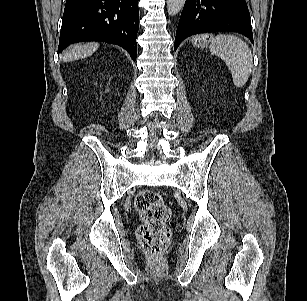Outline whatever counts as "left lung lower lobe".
Instances as JSON below:
<instances>
[{
    "label": "left lung lower lobe",
    "instance_id": "obj_1",
    "mask_svg": "<svg viewBox=\"0 0 307 301\" xmlns=\"http://www.w3.org/2000/svg\"><path fill=\"white\" fill-rule=\"evenodd\" d=\"M213 31H233L253 43L245 0H186L176 31L174 50L187 37Z\"/></svg>",
    "mask_w": 307,
    "mask_h": 301
}]
</instances>
